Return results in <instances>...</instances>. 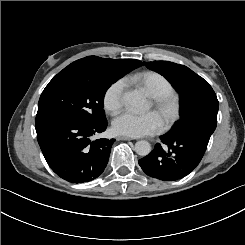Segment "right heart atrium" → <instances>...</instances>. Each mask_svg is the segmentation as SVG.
Returning <instances> with one entry per match:
<instances>
[{
  "instance_id": "obj_1",
  "label": "right heart atrium",
  "mask_w": 245,
  "mask_h": 245,
  "mask_svg": "<svg viewBox=\"0 0 245 245\" xmlns=\"http://www.w3.org/2000/svg\"><path fill=\"white\" fill-rule=\"evenodd\" d=\"M125 85L122 80L113 82L104 94V107L109 112H117L122 107Z\"/></svg>"
}]
</instances>
